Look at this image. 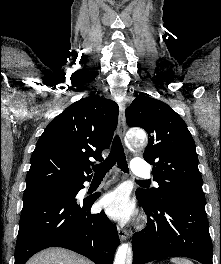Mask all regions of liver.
Segmentation results:
<instances>
[{
    "mask_svg": "<svg viewBox=\"0 0 221 264\" xmlns=\"http://www.w3.org/2000/svg\"><path fill=\"white\" fill-rule=\"evenodd\" d=\"M26 264H93L90 260L62 248H49L31 257Z\"/></svg>",
    "mask_w": 221,
    "mask_h": 264,
    "instance_id": "obj_1",
    "label": "liver"
}]
</instances>
